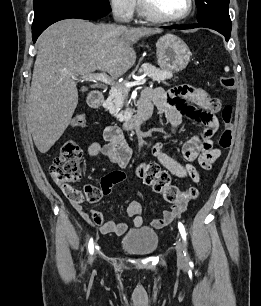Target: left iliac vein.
Masks as SVG:
<instances>
[{"mask_svg":"<svg viewBox=\"0 0 261 306\" xmlns=\"http://www.w3.org/2000/svg\"><path fill=\"white\" fill-rule=\"evenodd\" d=\"M176 252L178 265L185 267L187 265V257L184 253V245L181 239H178L176 242Z\"/></svg>","mask_w":261,"mask_h":306,"instance_id":"left-iliac-vein-1","label":"left iliac vein"}]
</instances>
